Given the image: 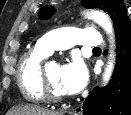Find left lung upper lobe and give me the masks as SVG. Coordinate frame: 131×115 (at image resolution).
I'll use <instances>...</instances> for the list:
<instances>
[{
	"instance_id": "1",
	"label": "left lung upper lobe",
	"mask_w": 131,
	"mask_h": 115,
	"mask_svg": "<svg viewBox=\"0 0 131 115\" xmlns=\"http://www.w3.org/2000/svg\"><path fill=\"white\" fill-rule=\"evenodd\" d=\"M85 8H100L110 15L114 28L116 29L120 22L128 18L124 0H83ZM53 12L51 6H44L39 10L41 19H47Z\"/></svg>"
}]
</instances>
